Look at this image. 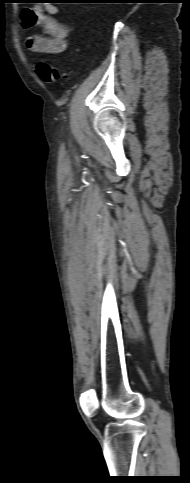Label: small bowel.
Returning <instances> with one entry per match:
<instances>
[{
  "mask_svg": "<svg viewBox=\"0 0 190 483\" xmlns=\"http://www.w3.org/2000/svg\"><path fill=\"white\" fill-rule=\"evenodd\" d=\"M57 11V7L49 4H39L23 10L21 21L24 27H40L43 31V34H30L26 37L29 51L55 56L67 49L68 27L56 19L54 14Z\"/></svg>",
  "mask_w": 190,
  "mask_h": 483,
  "instance_id": "c3829d8e",
  "label": "small bowel"
}]
</instances>
